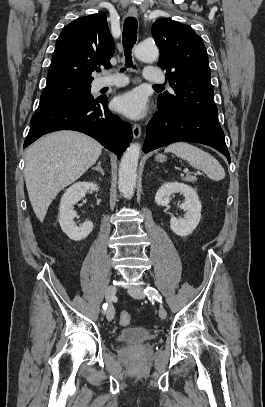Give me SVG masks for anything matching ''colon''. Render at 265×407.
I'll return each mask as SVG.
<instances>
[{"instance_id":"obj_1","label":"colon","mask_w":265,"mask_h":407,"mask_svg":"<svg viewBox=\"0 0 265 407\" xmlns=\"http://www.w3.org/2000/svg\"><path fill=\"white\" fill-rule=\"evenodd\" d=\"M131 321V315L130 313L124 311L121 312L120 316H119V324L121 326H127Z\"/></svg>"}]
</instances>
